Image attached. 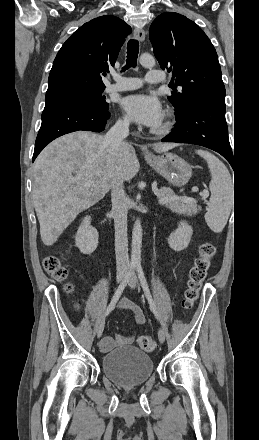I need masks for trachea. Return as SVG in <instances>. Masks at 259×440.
<instances>
[{
	"instance_id": "obj_1",
	"label": "trachea",
	"mask_w": 259,
	"mask_h": 440,
	"mask_svg": "<svg viewBox=\"0 0 259 440\" xmlns=\"http://www.w3.org/2000/svg\"><path fill=\"white\" fill-rule=\"evenodd\" d=\"M139 53V43L137 40H129L127 44V59L126 65L122 68V71L129 69L130 67L135 68L137 57Z\"/></svg>"
}]
</instances>
